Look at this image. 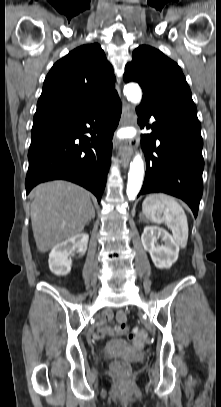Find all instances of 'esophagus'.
Returning <instances> with one entry per match:
<instances>
[{"label": "esophagus", "instance_id": "obj_1", "mask_svg": "<svg viewBox=\"0 0 221 407\" xmlns=\"http://www.w3.org/2000/svg\"><path fill=\"white\" fill-rule=\"evenodd\" d=\"M134 111L130 104L125 103L121 115V124L123 126H130L134 123ZM134 151V141L132 139L126 140L120 148L119 155L121 163L126 168L130 162L131 156Z\"/></svg>", "mask_w": 221, "mask_h": 407}]
</instances>
